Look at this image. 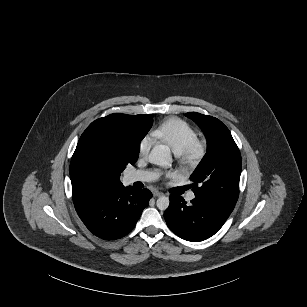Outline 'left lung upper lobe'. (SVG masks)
<instances>
[{"mask_svg": "<svg viewBox=\"0 0 307 307\" xmlns=\"http://www.w3.org/2000/svg\"><path fill=\"white\" fill-rule=\"evenodd\" d=\"M203 131L207 152L190 176L195 198L229 213L239 195L241 155L228 128L217 118L186 113Z\"/></svg>", "mask_w": 307, "mask_h": 307, "instance_id": "obj_1", "label": "left lung upper lobe"}]
</instances>
